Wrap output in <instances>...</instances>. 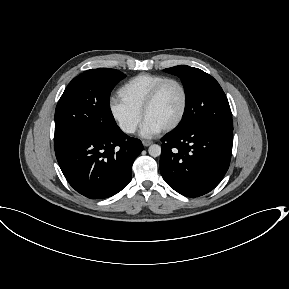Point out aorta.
I'll return each instance as SVG.
<instances>
[{"label": "aorta", "instance_id": "aorta-1", "mask_svg": "<svg viewBox=\"0 0 289 289\" xmlns=\"http://www.w3.org/2000/svg\"><path fill=\"white\" fill-rule=\"evenodd\" d=\"M149 155L158 157L161 154V147L157 144H153L148 148Z\"/></svg>", "mask_w": 289, "mask_h": 289}]
</instances>
